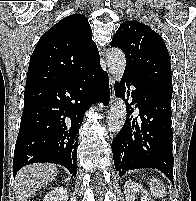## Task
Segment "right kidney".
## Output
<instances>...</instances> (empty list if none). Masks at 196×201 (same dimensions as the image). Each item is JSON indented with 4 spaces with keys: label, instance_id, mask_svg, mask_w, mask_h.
Returning <instances> with one entry per match:
<instances>
[{
    "label": "right kidney",
    "instance_id": "1",
    "mask_svg": "<svg viewBox=\"0 0 196 201\" xmlns=\"http://www.w3.org/2000/svg\"><path fill=\"white\" fill-rule=\"evenodd\" d=\"M67 190L63 186L55 187L45 195L43 201H67Z\"/></svg>",
    "mask_w": 196,
    "mask_h": 201
}]
</instances>
